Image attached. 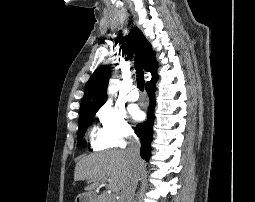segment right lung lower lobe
<instances>
[{
  "label": "right lung lower lobe",
  "instance_id": "98d812e1",
  "mask_svg": "<svg viewBox=\"0 0 255 202\" xmlns=\"http://www.w3.org/2000/svg\"><path fill=\"white\" fill-rule=\"evenodd\" d=\"M149 99H150V105L148 108V120L146 123L138 124L135 127V133L140 138L141 142V150L140 154L143 159H146V161L149 160L150 153H151V146L150 143L152 141V134H153V120H154V108H155V82L146 84L145 87Z\"/></svg>",
  "mask_w": 255,
  "mask_h": 202
}]
</instances>
